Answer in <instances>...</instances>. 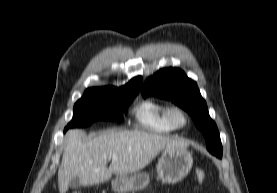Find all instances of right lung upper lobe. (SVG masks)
I'll return each mask as SVG.
<instances>
[{"label":"right lung upper lobe","instance_id":"cb5924a9","mask_svg":"<svg viewBox=\"0 0 277 193\" xmlns=\"http://www.w3.org/2000/svg\"><path fill=\"white\" fill-rule=\"evenodd\" d=\"M142 85V78L136 77L130 80L125 86L120 88L106 86L98 88H89L86 91H94L101 93H110V94H121V93H138Z\"/></svg>","mask_w":277,"mask_h":193}]
</instances>
